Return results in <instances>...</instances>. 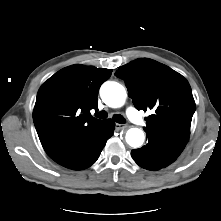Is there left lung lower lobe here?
<instances>
[{"label": "left lung lower lobe", "instance_id": "obj_1", "mask_svg": "<svg viewBox=\"0 0 221 221\" xmlns=\"http://www.w3.org/2000/svg\"><path fill=\"white\" fill-rule=\"evenodd\" d=\"M181 151L168 144L148 138V143L142 148L131 151L135 162L147 170H159L174 162Z\"/></svg>", "mask_w": 221, "mask_h": 221}]
</instances>
